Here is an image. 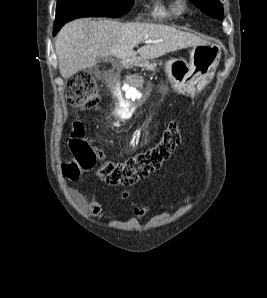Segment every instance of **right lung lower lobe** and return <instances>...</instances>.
<instances>
[{
  "label": "right lung lower lobe",
  "mask_w": 267,
  "mask_h": 298,
  "mask_svg": "<svg viewBox=\"0 0 267 298\" xmlns=\"http://www.w3.org/2000/svg\"><path fill=\"white\" fill-rule=\"evenodd\" d=\"M63 25L61 24H54V31H53V34L55 35L59 29L62 27Z\"/></svg>",
  "instance_id": "98d812e1"
}]
</instances>
